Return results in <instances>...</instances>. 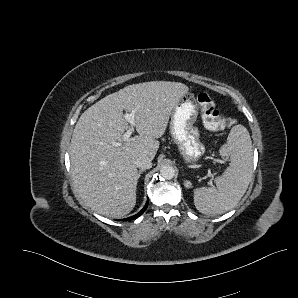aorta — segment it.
I'll return each instance as SVG.
<instances>
[{
    "instance_id": "obj_1",
    "label": "aorta",
    "mask_w": 298,
    "mask_h": 298,
    "mask_svg": "<svg viewBox=\"0 0 298 298\" xmlns=\"http://www.w3.org/2000/svg\"><path fill=\"white\" fill-rule=\"evenodd\" d=\"M176 171L175 168L171 165H163L160 168V175L165 180H171L175 177Z\"/></svg>"
}]
</instances>
